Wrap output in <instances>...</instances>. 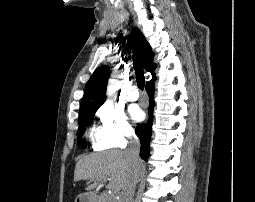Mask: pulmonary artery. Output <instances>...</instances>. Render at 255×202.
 <instances>
[{
	"label": "pulmonary artery",
	"mask_w": 255,
	"mask_h": 202,
	"mask_svg": "<svg viewBox=\"0 0 255 202\" xmlns=\"http://www.w3.org/2000/svg\"><path fill=\"white\" fill-rule=\"evenodd\" d=\"M126 98L128 101H136L139 98V93L136 88V86L132 85L129 87L127 93H126Z\"/></svg>",
	"instance_id": "e3ab8cb5"
}]
</instances>
